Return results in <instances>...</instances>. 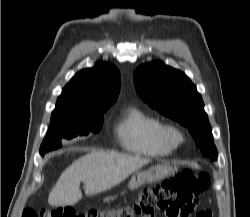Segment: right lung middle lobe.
Listing matches in <instances>:
<instances>
[{
  "label": "right lung middle lobe",
  "instance_id": "dd1d6c3e",
  "mask_svg": "<svg viewBox=\"0 0 250 217\" xmlns=\"http://www.w3.org/2000/svg\"><path fill=\"white\" fill-rule=\"evenodd\" d=\"M103 112L92 113L83 117L62 118L51 120L47 135L40 147V154L58 149L62 146L61 139H72L76 136L98 132L103 125Z\"/></svg>",
  "mask_w": 250,
  "mask_h": 217
}]
</instances>
